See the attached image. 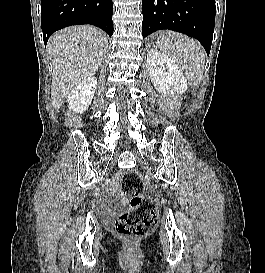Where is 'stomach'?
<instances>
[{"instance_id": "stomach-1", "label": "stomach", "mask_w": 265, "mask_h": 273, "mask_svg": "<svg viewBox=\"0 0 265 273\" xmlns=\"http://www.w3.org/2000/svg\"><path fill=\"white\" fill-rule=\"evenodd\" d=\"M158 39L159 40H147L146 44L147 45H168L169 44L168 40H164L165 39L164 35H159Z\"/></svg>"}]
</instances>
